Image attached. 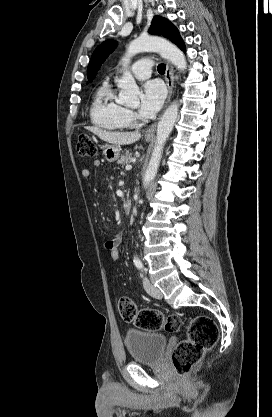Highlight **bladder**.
<instances>
[{"label": "bladder", "instance_id": "bladder-1", "mask_svg": "<svg viewBox=\"0 0 272 417\" xmlns=\"http://www.w3.org/2000/svg\"><path fill=\"white\" fill-rule=\"evenodd\" d=\"M124 342L135 363L157 364L163 358L167 338L160 333L131 329L127 331Z\"/></svg>", "mask_w": 272, "mask_h": 417}]
</instances>
